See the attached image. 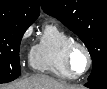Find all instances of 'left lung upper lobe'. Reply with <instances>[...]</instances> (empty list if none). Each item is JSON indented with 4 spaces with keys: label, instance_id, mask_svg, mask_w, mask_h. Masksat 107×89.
I'll list each match as a JSON object with an SVG mask.
<instances>
[{
    "label": "left lung upper lobe",
    "instance_id": "1",
    "mask_svg": "<svg viewBox=\"0 0 107 89\" xmlns=\"http://www.w3.org/2000/svg\"><path fill=\"white\" fill-rule=\"evenodd\" d=\"M42 9L59 19L84 42L92 57L88 81L107 72L106 0H40Z\"/></svg>",
    "mask_w": 107,
    "mask_h": 89
}]
</instances>
